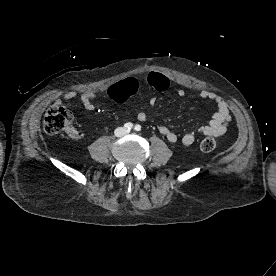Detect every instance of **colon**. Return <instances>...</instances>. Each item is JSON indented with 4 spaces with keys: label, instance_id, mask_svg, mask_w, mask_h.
<instances>
[{
    "label": "colon",
    "instance_id": "1",
    "mask_svg": "<svg viewBox=\"0 0 276 276\" xmlns=\"http://www.w3.org/2000/svg\"><path fill=\"white\" fill-rule=\"evenodd\" d=\"M72 115L68 109L60 104L50 106L44 116V131L49 135L59 134L71 128ZM217 141L212 137H206L201 140L199 149L208 153L215 150Z\"/></svg>",
    "mask_w": 276,
    "mask_h": 276
}]
</instances>
